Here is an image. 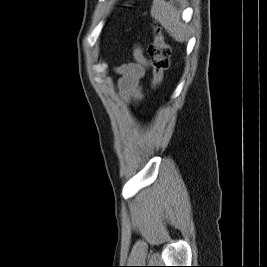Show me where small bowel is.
I'll return each instance as SVG.
<instances>
[{
    "mask_svg": "<svg viewBox=\"0 0 267 267\" xmlns=\"http://www.w3.org/2000/svg\"><path fill=\"white\" fill-rule=\"evenodd\" d=\"M133 55L134 62L116 68V72L120 75L118 81L120 97L127 103L142 98L139 82L144 77L148 67L147 59L139 46L134 48Z\"/></svg>",
    "mask_w": 267,
    "mask_h": 267,
    "instance_id": "obj_1",
    "label": "small bowel"
}]
</instances>
